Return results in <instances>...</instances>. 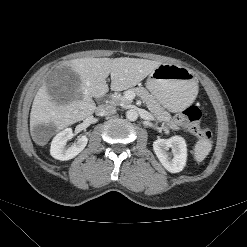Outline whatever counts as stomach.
<instances>
[{"label":"stomach","instance_id":"0dacf381","mask_svg":"<svg viewBox=\"0 0 247 247\" xmlns=\"http://www.w3.org/2000/svg\"><path fill=\"white\" fill-rule=\"evenodd\" d=\"M146 87L170 112H180L196 98L197 80L192 72L176 64H160L148 76Z\"/></svg>","mask_w":247,"mask_h":247}]
</instances>
